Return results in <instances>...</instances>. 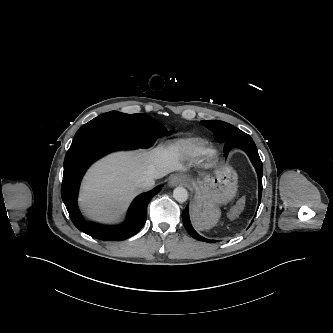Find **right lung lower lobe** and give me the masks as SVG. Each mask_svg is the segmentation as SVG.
I'll list each match as a JSON object with an SVG mask.
<instances>
[{"label":"right lung lower lobe","instance_id":"1","mask_svg":"<svg viewBox=\"0 0 333 333\" xmlns=\"http://www.w3.org/2000/svg\"><path fill=\"white\" fill-rule=\"evenodd\" d=\"M135 148L131 143L99 132L73 139L64 160L61 195L72 222L80 231L99 240L120 241L138 233L145 224L147 205L161 190L160 187L139 195L133 201L125 223L117 227H103L86 222L77 205L81 178L92 162L114 150Z\"/></svg>","mask_w":333,"mask_h":333}]
</instances>
